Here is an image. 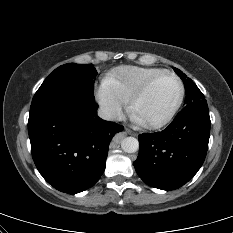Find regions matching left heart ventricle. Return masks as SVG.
Returning a JSON list of instances; mask_svg holds the SVG:
<instances>
[{
    "mask_svg": "<svg viewBox=\"0 0 233 233\" xmlns=\"http://www.w3.org/2000/svg\"><path fill=\"white\" fill-rule=\"evenodd\" d=\"M179 84L172 76L159 78L135 105L133 115L142 122H153L167 115L179 96Z\"/></svg>",
    "mask_w": 233,
    "mask_h": 233,
    "instance_id": "b2bd125f",
    "label": "left heart ventricle"
}]
</instances>
